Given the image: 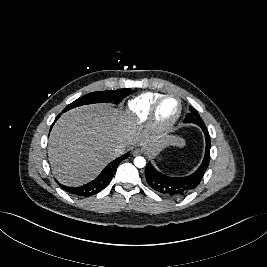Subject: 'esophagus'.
I'll use <instances>...</instances> for the list:
<instances>
[{"instance_id": "obj_1", "label": "esophagus", "mask_w": 267, "mask_h": 267, "mask_svg": "<svg viewBox=\"0 0 267 267\" xmlns=\"http://www.w3.org/2000/svg\"><path fill=\"white\" fill-rule=\"evenodd\" d=\"M141 152H142V151H141L139 148H136V149H134V150L132 151V154H133V156H137V155H140Z\"/></svg>"}]
</instances>
